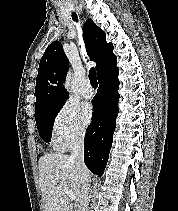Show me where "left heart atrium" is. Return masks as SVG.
Segmentation results:
<instances>
[{"mask_svg": "<svg viewBox=\"0 0 178 211\" xmlns=\"http://www.w3.org/2000/svg\"><path fill=\"white\" fill-rule=\"evenodd\" d=\"M93 117V108L90 104H85L82 107V119L85 123H89Z\"/></svg>", "mask_w": 178, "mask_h": 211, "instance_id": "obj_1", "label": "left heart atrium"}]
</instances>
